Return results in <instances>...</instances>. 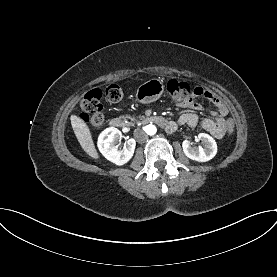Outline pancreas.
<instances>
[{
    "instance_id": "cf45deb5",
    "label": "pancreas",
    "mask_w": 277,
    "mask_h": 277,
    "mask_svg": "<svg viewBox=\"0 0 277 277\" xmlns=\"http://www.w3.org/2000/svg\"><path fill=\"white\" fill-rule=\"evenodd\" d=\"M129 118H130L131 122H128V125H133L135 122V118L134 117H129Z\"/></svg>"
}]
</instances>
